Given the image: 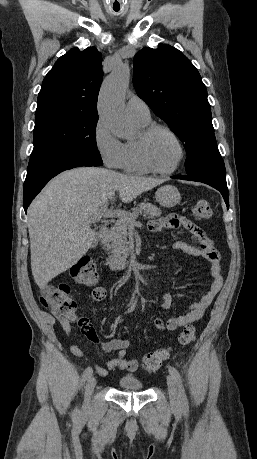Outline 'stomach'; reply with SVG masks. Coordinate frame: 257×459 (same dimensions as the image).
<instances>
[{"label":"stomach","mask_w":257,"mask_h":459,"mask_svg":"<svg viewBox=\"0 0 257 459\" xmlns=\"http://www.w3.org/2000/svg\"><path fill=\"white\" fill-rule=\"evenodd\" d=\"M157 202L163 207H174L181 200L178 189L172 185H165L157 189L155 194Z\"/></svg>","instance_id":"1"}]
</instances>
